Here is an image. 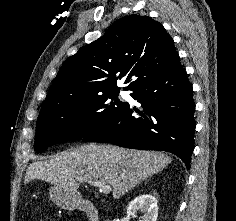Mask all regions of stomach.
<instances>
[{
	"mask_svg": "<svg viewBox=\"0 0 236 221\" xmlns=\"http://www.w3.org/2000/svg\"><path fill=\"white\" fill-rule=\"evenodd\" d=\"M49 194L56 205L66 210H73L81 203L80 193L70 192L60 186L51 187Z\"/></svg>",
	"mask_w": 236,
	"mask_h": 221,
	"instance_id": "stomach-1",
	"label": "stomach"
}]
</instances>
